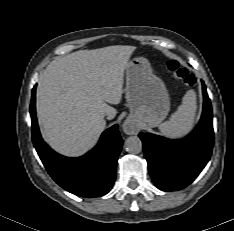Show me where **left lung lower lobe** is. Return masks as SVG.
Instances as JSON below:
<instances>
[{
	"mask_svg": "<svg viewBox=\"0 0 234 231\" xmlns=\"http://www.w3.org/2000/svg\"><path fill=\"white\" fill-rule=\"evenodd\" d=\"M202 88V117L186 138L168 140L153 134H139L151 178L160 190L175 191L188 186L210 159L214 142L212 108L204 82Z\"/></svg>",
	"mask_w": 234,
	"mask_h": 231,
	"instance_id": "0a47b994",
	"label": "left lung lower lobe"
}]
</instances>
